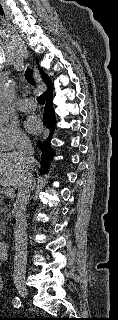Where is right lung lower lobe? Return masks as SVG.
I'll return each instance as SVG.
<instances>
[{
	"label": "right lung lower lobe",
	"instance_id": "obj_1",
	"mask_svg": "<svg viewBox=\"0 0 118 320\" xmlns=\"http://www.w3.org/2000/svg\"><path fill=\"white\" fill-rule=\"evenodd\" d=\"M44 97L46 99V105L44 109L45 114L43 115V123L50 129V134L49 137L42 143L38 142V146L40 147V150L42 152L40 161L42 168L49 164L50 158H52V156L54 155V151L51 147L50 141L53 136L54 126L56 124L55 112L53 109L52 92L44 95Z\"/></svg>",
	"mask_w": 118,
	"mask_h": 320
}]
</instances>
